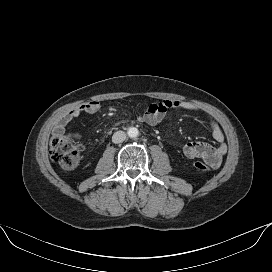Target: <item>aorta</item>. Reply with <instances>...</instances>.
Masks as SVG:
<instances>
[{
    "label": "aorta",
    "mask_w": 272,
    "mask_h": 272,
    "mask_svg": "<svg viewBox=\"0 0 272 272\" xmlns=\"http://www.w3.org/2000/svg\"><path fill=\"white\" fill-rule=\"evenodd\" d=\"M127 134L130 138H136L139 134V131L135 127H130L127 131Z\"/></svg>",
    "instance_id": "1"
}]
</instances>
